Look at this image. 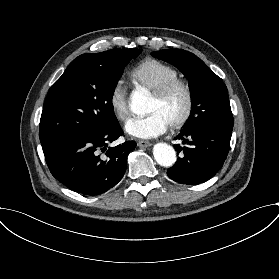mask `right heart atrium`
Masks as SVG:
<instances>
[{"label": "right heart atrium", "instance_id": "d8ad5b80", "mask_svg": "<svg viewBox=\"0 0 279 279\" xmlns=\"http://www.w3.org/2000/svg\"><path fill=\"white\" fill-rule=\"evenodd\" d=\"M128 96L127 85L123 79H118L109 92L108 104L115 118L120 122H124L130 114Z\"/></svg>", "mask_w": 279, "mask_h": 279}]
</instances>
